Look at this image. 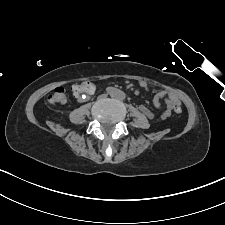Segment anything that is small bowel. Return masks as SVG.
Instances as JSON below:
<instances>
[{"mask_svg": "<svg viewBox=\"0 0 225 225\" xmlns=\"http://www.w3.org/2000/svg\"><path fill=\"white\" fill-rule=\"evenodd\" d=\"M138 85L148 90V84L145 81H139ZM95 86L92 91L87 93H80V94H74L77 101L82 102L87 95H92L95 92ZM179 104L178 97L166 90L159 91L155 97H154V106L157 109V114L152 112L150 109H148L146 106H141L140 110L141 112L147 116L150 119H157V120H166L171 116L172 110L176 105Z\"/></svg>", "mask_w": 225, "mask_h": 225, "instance_id": "obj_1", "label": "small bowel"}]
</instances>
